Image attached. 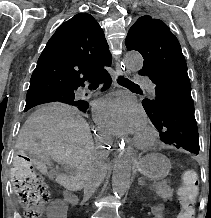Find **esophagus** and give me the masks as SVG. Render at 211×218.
<instances>
[{
  "label": "esophagus",
  "mask_w": 211,
  "mask_h": 218,
  "mask_svg": "<svg viewBox=\"0 0 211 218\" xmlns=\"http://www.w3.org/2000/svg\"><path fill=\"white\" fill-rule=\"evenodd\" d=\"M127 73V70L123 68L120 63H116V78ZM122 136H118L116 139V144H126L127 141H130V136H125L126 134L123 132ZM114 150H118L119 153L128 152V149H125V145H114ZM128 159H131L130 153H127Z\"/></svg>",
  "instance_id": "esophagus-1"
}]
</instances>
